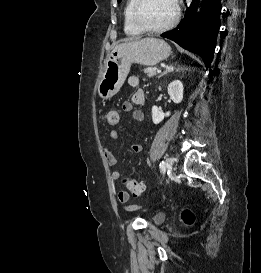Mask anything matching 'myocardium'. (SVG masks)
Listing matches in <instances>:
<instances>
[{
    "instance_id": "1",
    "label": "myocardium",
    "mask_w": 261,
    "mask_h": 273,
    "mask_svg": "<svg viewBox=\"0 0 261 273\" xmlns=\"http://www.w3.org/2000/svg\"><path fill=\"white\" fill-rule=\"evenodd\" d=\"M142 0H134L132 8H131V21L133 25L140 31V32H146V33H164L173 27H175L180 19V5L178 0H172L175 8V13L173 19L167 23L166 25L160 26V27H146L142 25L138 19H137V10L140 6V3Z\"/></svg>"
}]
</instances>
